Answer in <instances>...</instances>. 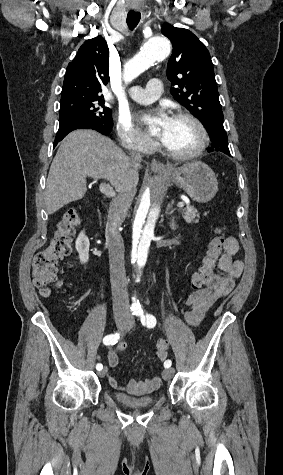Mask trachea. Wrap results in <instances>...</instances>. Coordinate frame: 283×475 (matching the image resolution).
Returning <instances> with one entry per match:
<instances>
[{"label": "trachea", "instance_id": "trachea-1", "mask_svg": "<svg viewBox=\"0 0 283 475\" xmlns=\"http://www.w3.org/2000/svg\"><path fill=\"white\" fill-rule=\"evenodd\" d=\"M140 19H141L140 12L132 11L127 14V24L130 30H134V28L138 25Z\"/></svg>", "mask_w": 283, "mask_h": 475}]
</instances>
